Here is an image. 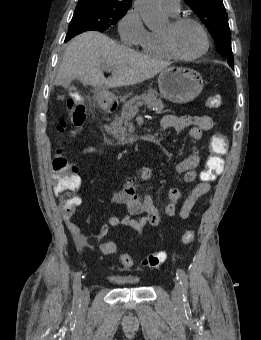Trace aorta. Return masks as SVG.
<instances>
[{"label":"aorta","mask_w":261,"mask_h":340,"mask_svg":"<svg viewBox=\"0 0 261 340\" xmlns=\"http://www.w3.org/2000/svg\"><path fill=\"white\" fill-rule=\"evenodd\" d=\"M135 5L149 28L160 26L165 22L166 17L162 12L160 0H136Z\"/></svg>","instance_id":"obj_1"}]
</instances>
